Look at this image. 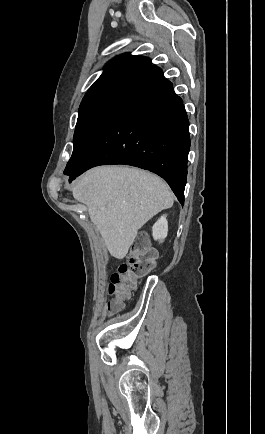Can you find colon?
Returning a JSON list of instances; mask_svg holds the SVG:
<instances>
[{
    "mask_svg": "<svg viewBox=\"0 0 265 434\" xmlns=\"http://www.w3.org/2000/svg\"><path fill=\"white\" fill-rule=\"evenodd\" d=\"M157 263L155 249L147 245L144 235H137L132 243L127 260L122 263L118 271L111 277L109 291L113 298L109 302L112 310H119L124 301L136 290L140 278L148 275Z\"/></svg>",
    "mask_w": 265,
    "mask_h": 434,
    "instance_id": "obj_1",
    "label": "colon"
}]
</instances>
